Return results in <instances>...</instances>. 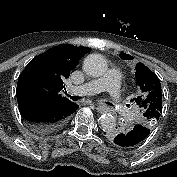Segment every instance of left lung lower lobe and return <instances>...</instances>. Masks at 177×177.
I'll return each instance as SVG.
<instances>
[{
	"instance_id": "left-lung-lower-lobe-1",
	"label": "left lung lower lobe",
	"mask_w": 177,
	"mask_h": 177,
	"mask_svg": "<svg viewBox=\"0 0 177 177\" xmlns=\"http://www.w3.org/2000/svg\"><path fill=\"white\" fill-rule=\"evenodd\" d=\"M149 134L150 129L148 127L137 124L129 130H119L112 133L110 139L115 145L128 148L141 144Z\"/></svg>"
}]
</instances>
